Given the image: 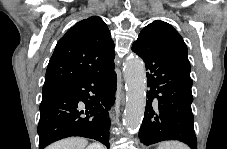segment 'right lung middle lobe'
I'll use <instances>...</instances> for the list:
<instances>
[{
	"mask_svg": "<svg viewBox=\"0 0 227 149\" xmlns=\"http://www.w3.org/2000/svg\"><path fill=\"white\" fill-rule=\"evenodd\" d=\"M53 89H43L42 90V98H44L45 96H47L49 93H51Z\"/></svg>",
	"mask_w": 227,
	"mask_h": 149,
	"instance_id": "dd1d6c3e",
	"label": "right lung middle lobe"
}]
</instances>
